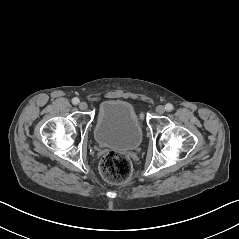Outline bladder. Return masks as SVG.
Masks as SVG:
<instances>
[{
	"instance_id": "31cf9c89",
	"label": "bladder",
	"mask_w": 239,
	"mask_h": 239,
	"mask_svg": "<svg viewBox=\"0 0 239 239\" xmlns=\"http://www.w3.org/2000/svg\"><path fill=\"white\" fill-rule=\"evenodd\" d=\"M94 138L102 147L137 150L143 141V131L133 105L121 99L103 101L98 109Z\"/></svg>"
}]
</instances>
